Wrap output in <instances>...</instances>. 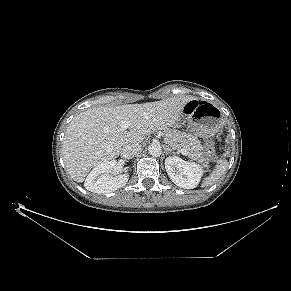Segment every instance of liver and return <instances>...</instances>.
Instances as JSON below:
<instances>
[{
  "label": "liver",
  "instance_id": "1",
  "mask_svg": "<svg viewBox=\"0 0 291 291\" xmlns=\"http://www.w3.org/2000/svg\"><path fill=\"white\" fill-rule=\"evenodd\" d=\"M192 96L172 97L143 104L94 107L75 116L65 132L62 157L71 178L82 183L88 172L115 159L126 144L141 143L149 134L173 126ZM129 120L132 126L121 129Z\"/></svg>",
  "mask_w": 291,
  "mask_h": 291
}]
</instances>
